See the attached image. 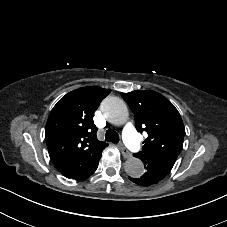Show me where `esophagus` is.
<instances>
[{
	"label": "esophagus",
	"instance_id": "34e87169",
	"mask_svg": "<svg viewBox=\"0 0 227 227\" xmlns=\"http://www.w3.org/2000/svg\"><path fill=\"white\" fill-rule=\"evenodd\" d=\"M119 149L125 158L132 157V154L128 151V149L122 143L119 144Z\"/></svg>",
	"mask_w": 227,
	"mask_h": 227
}]
</instances>
